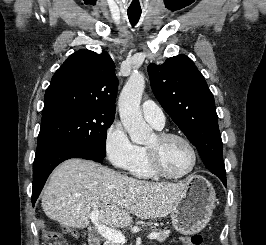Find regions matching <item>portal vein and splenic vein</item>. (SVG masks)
Listing matches in <instances>:
<instances>
[{"instance_id": "portal-vein-and-splenic-vein-1", "label": "portal vein and splenic vein", "mask_w": 266, "mask_h": 245, "mask_svg": "<svg viewBox=\"0 0 266 245\" xmlns=\"http://www.w3.org/2000/svg\"><path fill=\"white\" fill-rule=\"evenodd\" d=\"M90 219L93 225H95L99 235H102L104 239H108L111 243H119V245H124V243H126V237H124L120 231H114V229H109V227L99 225V211H96V209L92 211ZM148 239H157V233H150V235H148Z\"/></svg>"}]
</instances>
